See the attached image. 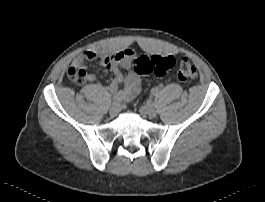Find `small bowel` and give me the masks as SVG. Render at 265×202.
<instances>
[{"mask_svg": "<svg viewBox=\"0 0 265 202\" xmlns=\"http://www.w3.org/2000/svg\"><path fill=\"white\" fill-rule=\"evenodd\" d=\"M85 63L101 65L114 74L113 81L107 86V90L117 94L128 102L135 98L141 91L142 81L140 77L130 70L132 64V51H119L113 55L100 54L94 51H83L76 59L74 64L83 67ZM124 70L125 72H122ZM87 81H94L96 76L93 73H86ZM123 83V87L121 84Z\"/></svg>", "mask_w": 265, "mask_h": 202, "instance_id": "1", "label": "small bowel"}]
</instances>
